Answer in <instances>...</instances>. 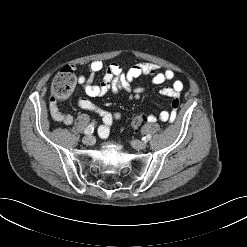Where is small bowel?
<instances>
[{
	"label": "small bowel",
	"instance_id": "1",
	"mask_svg": "<svg viewBox=\"0 0 247 247\" xmlns=\"http://www.w3.org/2000/svg\"><path fill=\"white\" fill-rule=\"evenodd\" d=\"M102 74V79L97 81V76ZM148 75L151 77V83L147 86L133 87V81L140 76ZM175 71L166 69L160 71L159 67L153 63H137L131 66L127 71L117 63H110L105 65L100 60H94L88 65V74H80L78 76V83L82 86L83 91L89 98L101 97L107 92L113 93L126 92L129 94L130 99L138 100L140 97L149 90L152 85H160L166 81L175 78ZM183 90V82L181 80H174L171 86L163 87L159 93L162 96L172 99L171 111H163L158 116L150 115L149 122H155L157 119L161 121H173L176 117V110L173 102L178 100ZM87 97H80L77 100L78 107L94 112L102 119V125L99 128V135L101 138H107L110 133V128L113 121L120 119L119 112H110L105 110ZM50 113L54 120L63 124L70 125L73 122V116L69 113L61 112L58 107L51 103Z\"/></svg>",
	"mask_w": 247,
	"mask_h": 247
}]
</instances>
